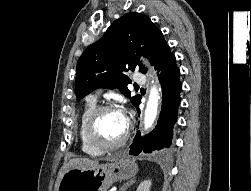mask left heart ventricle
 I'll use <instances>...</instances> for the list:
<instances>
[{"instance_id": "left-heart-ventricle-1", "label": "left heart ventricle", "mask_w": 251, "mask_h": 191, "mask_svg": "<svg viewBox=\"0 0 251 191\" xmlns=\"http://www.w3.org/2000/svg\"><path fill=\"white\" fill-rule=\"evenodd\" d=\"M125 127V120L121 119L116 111H107L98 124L99 139L107 144L115 143L123 136Z\"/></svg>"}]
</instances>
